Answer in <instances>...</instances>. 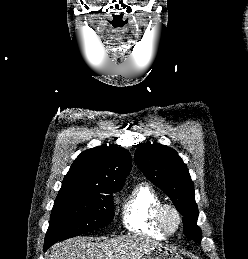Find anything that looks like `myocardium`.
<instances>
[{
    "label": "myocardium",
    "instance_id": "f54148a6",
    "mask_svg": "<svg viewBox=\"0 0 248 259\" xmlns=\"http://www.w3.org/2000/svg\"><path fill=\"white\" fill-rule=\"evenodd\" d=\"M168 212H172L177 219V224L174 228H170L166 221V215ZM156 219L159 227L166 235H173L177 233L182 226L183 217L180 210L171 203H162L157 210Z\"/></svg>",
    "mask_w": 248,
    "mask_h": 259
}]
</instances>
